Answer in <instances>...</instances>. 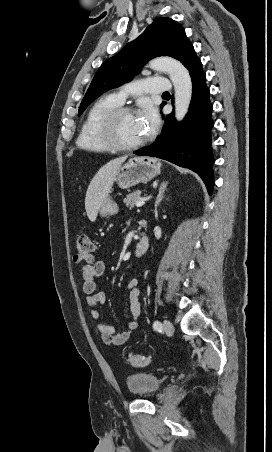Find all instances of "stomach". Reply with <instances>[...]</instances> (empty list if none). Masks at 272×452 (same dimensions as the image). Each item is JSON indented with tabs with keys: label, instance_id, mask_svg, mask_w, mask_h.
I'll return each mask as SVG.
<instances>
[{
	"label": "stomach",
	"instance_id": "1",
	"mask_svg": "<svg viewBox=\"0 0 272 452\" xmlns=\"http://www.w3.org/2000/svg\"><path fill=\"white\" fill-rule=\"evenodd\" d=\"M161 165L156 158L134 156L119 168L115 181L122 189L147 183L160 174ZM118 210V205L111 197H107L99 209V214L101 217H108L117 214Z\"/></svg>",
	"mask_w": 272,
	"mask_h": 452
}]
</instances>
